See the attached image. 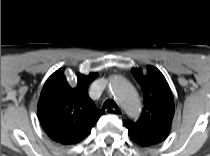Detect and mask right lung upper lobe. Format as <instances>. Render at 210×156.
<instances>
[{"mask_svg": "<svg viewBox=\"0 0 210 156\" xmlns=\"http://www.w3.org/2000/svg\"><path fill=\"white\" fill-rule=\"evenodd\" d=\"M96 76L78 74L75 87L67 82L64 68L48 78L39 98L38 117L52 140L64 145L80 142L105 113L88 96V86Z\"/></svg>", "mask_w": 210, "mask_h": 156, "instance_id": "1", "label": "right lung upper lobe"}]
</instances>
